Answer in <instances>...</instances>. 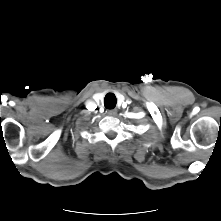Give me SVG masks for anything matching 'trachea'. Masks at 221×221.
Returning <instances> with one entry per match:
<instances>
[{
    "label": "trachea",
    "mask_w": 221,
    "mask_h": 221,
    "mask_svg": "<svg viewBox=\"0 0 221 221\" xmlns=\"http://www.w3.org/2000/svg\"><path fill=\"white\" fill-rule=\"evenodd\" d=\"M105 107L107 109H113L116 106L117 99L113 93H108L104 98Z\"/></svg>",
    "instance_id": "1"
}]
</instances>
